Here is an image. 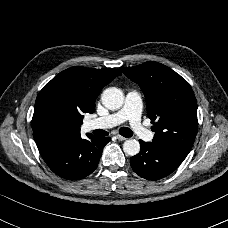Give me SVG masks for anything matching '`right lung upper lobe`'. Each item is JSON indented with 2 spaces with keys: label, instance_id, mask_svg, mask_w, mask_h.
<instances>
[{
  "label": "right lung upper lobe",
  "instance_id": "obj_1",
  "mask_svg": "<svg viewBox=\"0 0 228 228\" xmlns=\"http://www.w3.org/2000/svg\"><path fill=\"white\" fill-rule=\"evenodd\" d=\"M119 75L121 72L117 69L72 67L60 72L40 92L56 91L60 93L83 119V113L94 112L95 100L101 89ZM82 119L78 125L71 128L62 137H44L33 131L37 146L42 147L59 139L79 135Z\"/></svg>",
  "mask_w": 228,
  "mask_h": 228
}]
</instances>
